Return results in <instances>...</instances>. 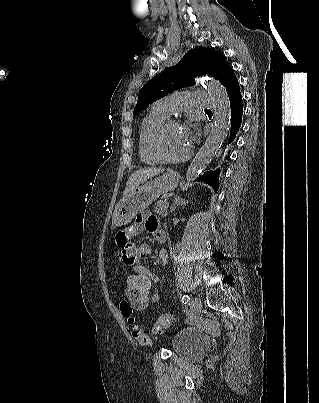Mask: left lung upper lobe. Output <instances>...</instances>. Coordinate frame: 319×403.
<instances>
[{
  "instance_id": "left-lung-upper-lobe-1",
  "label": "left lung upper lobe",
  "mask_w": 319,
  "mask_h": 403,
  "mask_svg": "<svg viewBox=\"0 0 319 403\" xmlns=\"http://www.w3.org/2000/svg\"><path fill=\"white\" fill-rule=\"evenodd\" d=\"M228 66L225 56L214 49L198 47L188 51L176 66L165 68L142 87L133 116L169 92L194 85L198 75L208 74L220 81Z\"/></svg>"
}]
</instances>
